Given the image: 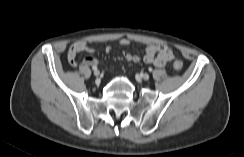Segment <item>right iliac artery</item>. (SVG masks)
Wrapping results in <instances>:
<instances>
[{
	"instance_id": "right-iliac-artery-1",
	"label": "right iliac artery",
	"mask_w": 244,
	"mask_h": 157,
	"mask_svg": "<svg viewBox=\"0 0 244 157\" xmlns=\"http://www.w3.org/2000/svg\"><path fill=\"white\" fill-rule=\"evenodd\" d=\"M97 69H98L97 66L92 67V70H94V71H97Z\"/></svg>"
}]
</instances>
